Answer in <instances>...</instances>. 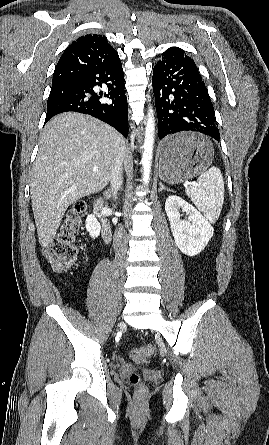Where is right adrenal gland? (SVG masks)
<instances>
[{
  "label": "right adrenal gland",
  "instance_id": "obj_1",
  "mask_svg": "<svg viewBox=\"0 0 269 445\" xmlns=\"http://www.w3.org/2000/svg\"><path fill=\"white\" fill-rule=\"evenodd\" d=\"M107 196L111 197L113 195V191H111L110 189H107Z\"/></svg>",
  "mask_w": 269,
  "mask_h": 445
}]
</instances>
